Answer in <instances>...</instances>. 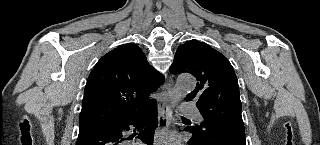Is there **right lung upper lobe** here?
<instances>
[{
    "instance_id": "cb5924a9",
    "label": "right lung upper lobe",
    "mask_w": 320,
    "mask_h": 145,
    "mask_svg": "<svg viewBox=\"0 0 320 145\" xmlns=\"http://www.w3.org/2000/svg\"><path fill=\"white\" fill-rule=\"evenodd\" d=\"M164 76L147 61L136 44L121 45L104 55L91 71L79 117V128L122 123L152 108L151 92Z\"/></svg>"
}]
</instances>
